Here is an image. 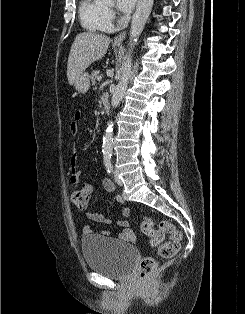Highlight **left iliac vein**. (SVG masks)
<instances>
[{
  "mask_svg": "<svg viewBox=\"0 0 245 314\" xmlns=\"http://www.w3.org/2000/svg\"><path fill=\"white\" fill-rule=\"evenodd\" d=\"M114 180H115L116 184H118L119 186H121L123 184L122 180L118 177L117 173H114Z\"/></svg>",
  "mask_w": 245,
  "mask_h": 314,
  "instance_id": "1",
  "label": "left iliac vein"
}]
</instances>
